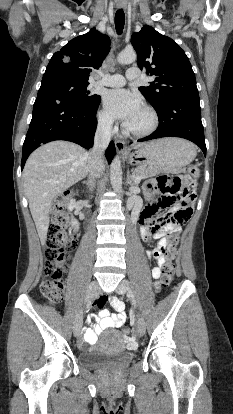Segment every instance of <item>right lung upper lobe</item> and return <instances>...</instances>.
Returning a JSON list of instances; mask_svg holds the SVG:
<instances>
[{
    "label": "right lung upper lobe",
    "mask_w": 233,
    "mask_h": 414,
    "mask_svg": "<svg viewBox=\"0 0 233 414\" xmlns=\"http://www.w3.org/2000/svg\"><path fill=\"white\" fill-rule=\"evenodd\" d=\"M109 50V38L93 28L54 53L44 76H62L88 82L92 68L99 69Z\"/></svg>",
    "instance_id": "obj_1"
}]
</instances>
